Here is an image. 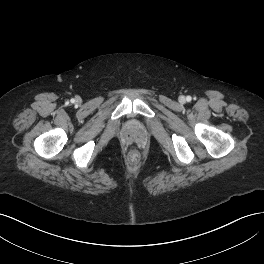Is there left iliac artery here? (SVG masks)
<instances>
[{
  "mask_svg": "<svg viewBox=\"0 0 264 264\" xmlns=\"http://www.w3.org/2000/svg\"><path fill=\"white\" fill-rule=\"evenodd\" d=\"M186 100H187L188 102H190V101H191V97L188 96V97L186 98Z\"/></svg>",
  "mask_w": 264,
  "mask_h": 264,
  "instance_id": "obj_1",
  "label": "left iliac artery"
}]
</instances>
